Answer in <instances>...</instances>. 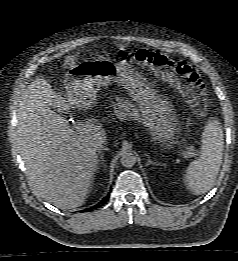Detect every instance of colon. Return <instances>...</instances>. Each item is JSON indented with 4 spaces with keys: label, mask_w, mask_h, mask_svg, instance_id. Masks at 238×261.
<instances>
[{
    "label": "colon",
    "mask_w": 238,
    "mask_h": 261,
    "mask_svg": "<svg viewBox=\"0 0 238 261\" xmlns=\"http://www.w3.org/2000/svg\"><path fill=\"white\" fill-rule=\"evenodd\" d=\"M119 60L148 68L171 82L195 113L203 115L208 108L204 83L199 74L186 62L147 49L118 51Z\"/></svg>",
    "instance_id": "obj_1"
}]
</instances>
